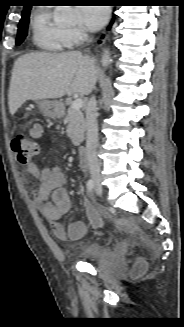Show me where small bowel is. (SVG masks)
<instances>
[{"label":"small bowel","instance_id":"obj_1","mask_svg":"<svg viewBox=\"0 0 184 327\" xmlns=\"http://www.w3.org/2000/svg\"><path fill=\"white\" fill-rule=\"evenodd\" d=\"M43 127L34 123L29 129V135L40 138ZM27 173L38 180V185L32 191L34 204L42 215L50 222L53 234L59 239L78 240L87 230L82 221H72L67 228L61 222V218L69 212L71 199L64 188L65 174L57 167L40 168L35 162L27 165Z\"/></svg>","mask_w":184,"mask_h":327}]
</instances>
